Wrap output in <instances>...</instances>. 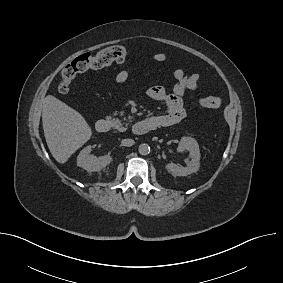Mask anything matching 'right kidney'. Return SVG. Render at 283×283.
Here are the masks:
<instances>
[{"label":"right kidney","instance_id":"obj_1","mask_svg":"<svg viewBox=\"0 0 283 283\" xmlns=\"http://www.w3.org/2000/svg\"><path fill=\"white\" fill-rule=\"evenodd\" d=\"M91 147L84 148L77 157V165L88 172L100 171L110 164L112 158L109 155L96 157L90 154Z\"/></svg>","mask_w":283,"mask_h":283}]
</instances>
